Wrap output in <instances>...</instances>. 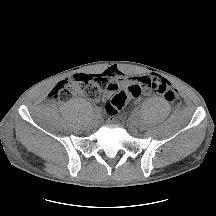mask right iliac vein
I'll return each instance as SVG.
<instances>
[{"label":"right iliac vein","instance_id":"63e3f726","mask_svg":"<svg viewBox=\"0 0 216 216\" xmlns=\"http://www.w3.org/2000/svg\"><path fill=\"white\" fill-rule=\"evenodd\" d=\"M99 121H100L99 115H93V117H92V119H91L92 124H93L94 126H96V125H98Z\"/></svg>","mask_w":216,"mask_h":216}]
</instances>
